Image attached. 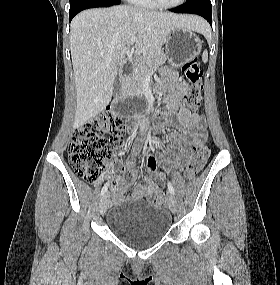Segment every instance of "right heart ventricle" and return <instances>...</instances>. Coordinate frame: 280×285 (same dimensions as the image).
<instances>
[{"label":"right heart ventricle","instance_id":"obj_1","mask_svg":"<svg viewBox=\"0 0 280 285\" xmlns=\"http://www.w3.org/2000/svg\"><path fill=\"white\" fill-rule=\"evenodd\" d=\"M129 1H131L136 6L142 7V8H155L156 7L151 0H129Z\"/></svg>","mask_w":280,"mask_h":285}]
</instances>
